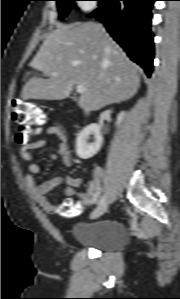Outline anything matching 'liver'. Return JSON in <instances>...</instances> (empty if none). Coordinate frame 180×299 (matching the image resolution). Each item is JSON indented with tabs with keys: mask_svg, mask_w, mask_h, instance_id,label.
<instances>
[{
	"mask_svg": "<svg viewBox=\"0 0 180 299\" xmlns=\"http://www.w3.org/2000/svg\"><path fill=\"white\" fill-rule=\"evenodd\" d=\"M30 66L48 78H30L22 90L24 100L66 99L80 84L87 90L78 106L96 111L130 99L140 86L138 66L94 22L57 25ZM53 72L57 76H52Z\"/></svg>",
	"mask_w": 180,
	"mask_h": 299,
	"instance_id": "liver-1",
	"label": "liver"
}]
</instances>
